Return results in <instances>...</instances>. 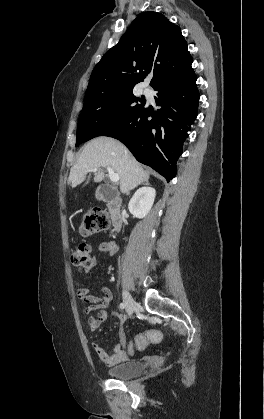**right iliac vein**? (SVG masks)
<instances>
[{"mask_svg": "<svg viewBox=\"0 0 264 419\" xmlns=\"http://www.w3.org/2000/svg\"><path fill=\"white\" fill-rule=\"evenodd\" d=\"M122 295L126 310L129 315H132L137 307V304L127 290L124 289Z\"/></svg>", "mask_w": 264, "mask_h": 419, "instance_id": "1", "label": "right iliac vein"}]
</instances>
